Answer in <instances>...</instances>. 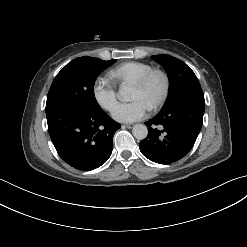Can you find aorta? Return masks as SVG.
<instances>
[{
    "label": "aorta",
    "instance_id": "762f6f07",
    "mask_svg": "<svg viewBox=\"0 0 247 247\" xmlns=\"http://www.w3.org/2000/svg\"><path fill=\"white\" fill-rule=\"evenodd\" d=\"M131 87L128 84L123 83L118 91V97L120 100H128L130 97ZM133 136L138 140H143L148 135V129L144 124H136L132 129Z\"/></svg>",
    "mask_w": 247,
    "mask_h": 247
}]
</instances>
